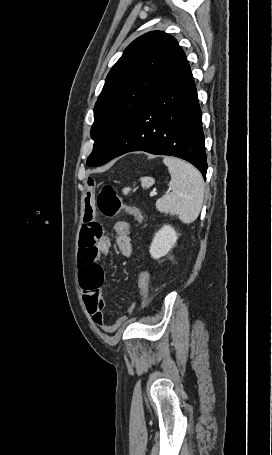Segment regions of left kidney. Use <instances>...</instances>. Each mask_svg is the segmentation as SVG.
<instances>
[{
    "instance_id": "5707ae66",
    "label": "left kidney",
    "mask_w": 272,
    "mask_h": 455,
    "mask_svg": "<svg viewBox=\"0 0 272 455\" xmlns=\"http://www.w3.org/2000/svg\"><path fill=\"white\" fill-rule=\"evenodd\" d=\"M178 234L170 225H164L154 236L150 246V254L154 259L168 254L170 249L175 245Z\"/></svg>"
}]
</instances>
